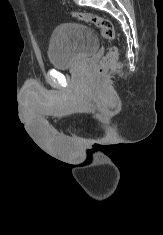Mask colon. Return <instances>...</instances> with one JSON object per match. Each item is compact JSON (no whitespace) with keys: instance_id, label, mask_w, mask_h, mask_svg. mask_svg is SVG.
<instances>
[{"instance_id":"1","label":"colon","mask_w":163,"mask_h":235,"mask_svg":"<svg viewBox=\"0 0 163 235\" xmlns=\"http://www.w3.org/2000/svg\"><path fill=\"white\" fill-rule=\"evenodd\" d=\"M72 17L80 22H84L90 26L95 27L98 29L105 39L112 41L116 37V32L114 29L113 24L102 17L88 15L79 12H72ZM117 59V50L116 48L112 47L108 54L103 58L102 62L100 63L98 73L104 74L109 69V67L116 62Z\"/></svg>"}]
</instances>
